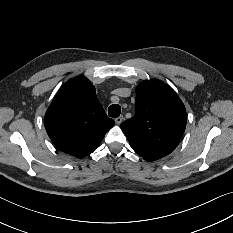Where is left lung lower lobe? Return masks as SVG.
I'll return each instance as SVG.
<instances>
[{"label":"left lung lower lobe","mask_w":233,"mask_h":233,"mask_svg":"<svg viewBox=\"0 0 233 233\" xmlns=\"http://www.w3.org/2000/svg\"><path fill=\"white\" fill-rule=\"evenodd\" d=\"M145 160H147V161H153V160H149V159H145Z\"/></svg>","instance_id":"obj_1"}]
</instances>
